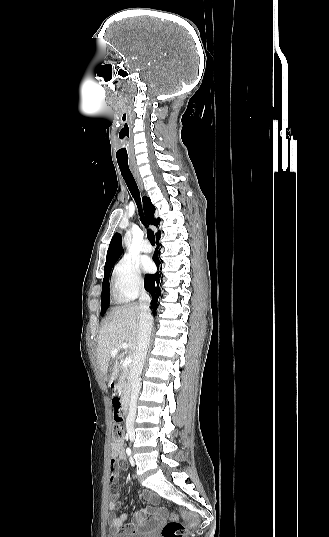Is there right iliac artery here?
I'll list each match as a JSON object with an SVG mask.
<instances>
[{
	"mask_svg": "<svg viewBox=\"0 0 329 537\" xmlns=\"http://www.w3.org/2000/svg\"><path fill=\"white\" fill-rule=\"evenodd\" d=\"M126 453H127L128 456L131 455V450H130V448H127V449H126Z\"/></svg>",
	"mask_w": 329,
	"mask_h": 537,
	"instance_id": "right-iliac-artery-1",
	"label": "right iliac artery"
}]
</instances>
